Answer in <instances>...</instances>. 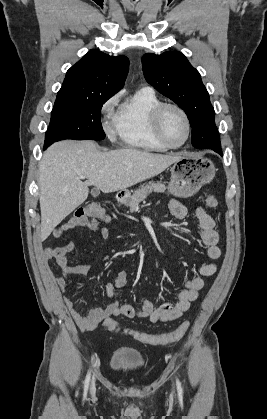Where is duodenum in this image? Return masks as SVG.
Returning a JSON list of instances; mask_svg holds the SVG:
<instances>
[{"label": "duodenum", "instance_id": "duodenum-1", "mask_svg": "<svg viewBox=\"0 0 267 419\" xmlns=\"http://www.w3.org/2000/svg\"><path fill=\"white\" fill-rule=\"evenodd\" d=\"M121 199H122L121 197H118V200H119V201H121Z\"/></svg>", "mask_w": 267, "mask_h": 419}]
</instances>
